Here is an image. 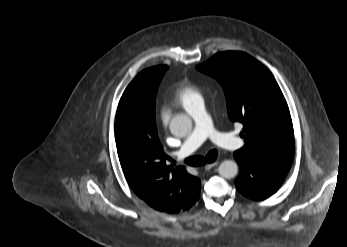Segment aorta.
Instances as JSON below:
<instances>
[{
    "label": "aorta",
    "instance_id": "1",
    "mask_svg": "<svg viewBox=\"0 0 347 247\" xmlns=\"http://www.w3.org/2000/svg\"><path fill=\"white\" fill-rule=\"evenodd\" d=\"M192 130V120L184 114L176 115L170 122V131L176 137H185ZM238 165L233 160H224L218 168L221 177L231 179L236 176Z\"/></svg>",
    "mask_w": 347,
    "mask_h": 247
}]
</instances>
